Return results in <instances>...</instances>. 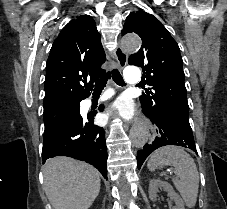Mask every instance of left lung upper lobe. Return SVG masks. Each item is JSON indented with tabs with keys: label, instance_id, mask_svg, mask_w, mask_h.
<instances>
[{
	"label": "left lung upper lobe",
	"instance_id": "1",
	"mask_svg": "<svg viewBox=\"0 0 227 209\" xmlns=\"http://www.w3.org/2000/svg\"><path fill=\"white\" fill-rule=\"evenodd\" d=\"M134 32L142 39L141 49L128 63L142 67L144 84L151 86L140 96L143 110H164L189 120L183 60L177 42L153 15L137 11L126 18L122 35Z\"/></svg>",
	"mask_w": 227,
	"mask_h": 209
}]
</instances>
